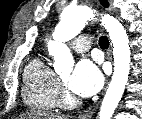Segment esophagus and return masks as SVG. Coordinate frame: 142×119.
Wrapping results in <instances>:
<instances>
[{"instance_id": "1", "label": "esophagus", "mask_w": 142, "mask_h": 119, "mask_svg": "<svg viewBox=\"0 0 142 119\" xmlns=\"http://www.w3.org/2000/svg\"><path fill=\"white\" fill-rule=\"evenodd\" d=\"M109 54H110V52H109ZM93 114H94V109L90 108L88 111H86L85 113L81 114L79 116V119H90Z\"/></svg>"}]
</instances>
